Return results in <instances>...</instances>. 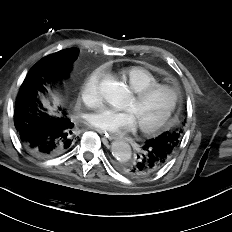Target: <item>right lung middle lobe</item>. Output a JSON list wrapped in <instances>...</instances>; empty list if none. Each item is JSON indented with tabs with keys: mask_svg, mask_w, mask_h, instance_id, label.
<instances>
[{
	"mask_svg": "<svg viewBox=\"0 0 232 232\" xmlns=\"http://www.w3.org/2000/svg\"><path fill=\"white\" fill-rule=\"evenodd\" d=\"M76 56L77 55L74 50L65 49L64 51L61 50L41 59L30 69L24 79L16 101L20 97L21 93H23L24 89L33 88L35 89L34 95H38V92L45 90L46 84L51 82V80L60 75L67 74ZM41 110L43 113H46L42 106ZM48 115L59 116L58 114L53 115L51 112Z\"/></svg>",
	"mask_w": 232,
	"mask_h": 232,
	"instance_id": "obj_1",
	"label": "right lung middle lobe"
}]
</instances>
